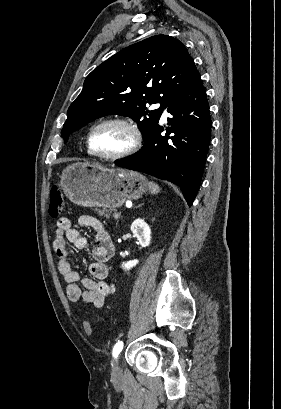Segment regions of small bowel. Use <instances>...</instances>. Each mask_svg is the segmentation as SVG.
<instances>
[{
    "mask_svg": "<svg viewBox=\"0 0 281 409\" xmlns=\"http://www.w3.org/2000/svg\"><path fill=\"white\" fill-rule=\"evenodd\" d=\"M79 225L94 232V261L89 266L92 277H81L70 263V252L67 244L78 249L86 247V239L73 228L69 217L63 216L57 220L55 229L54 249L58 257V269L67 284V296L72 302H81L94 307H101L105 300L112 296L115 285L109 280L108 262L114 254V245L104 224L95 217L83 215L78 220Z\"/></svg>",
    "mask_w": 281,
    "mask_h": 409,
    "instance_id": "1",
    "label": "small bowel"
}]
</instances>
